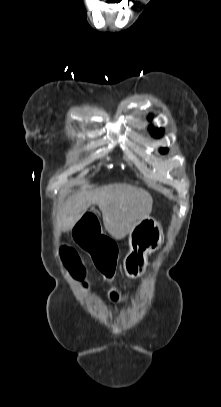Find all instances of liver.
Returning a JSON list of instances; mask_svg holds the SVG:
<instances>
[{
  "instance_id": "1",
  "label": "liver",
  "mask_w": 221,
  "mask_h": 407,
  "mask_svg": "<svg viewBox=\"0 0 221 407\" xmlns=\"http://www.w3.org/2000/svg\"><path fill=\"white\" fill-rule=\"evenodd\" d=\"M152 203L151 195L143 189L111 184L70 198L65 206V222L73 228L87 209L96 204L102 212L106 231L116 240H121L140 220L149 217Z\"/></svg>"
}]
</instances>
